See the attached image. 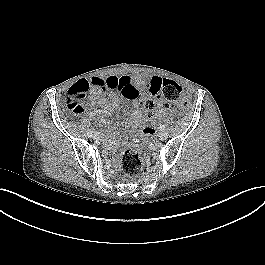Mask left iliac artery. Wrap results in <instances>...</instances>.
Segmentation results:
<instances>
[{
  "label": "left iliac artery",
  "instance_id": "left-iliac-artery-1",
  "mask_svg": "<svg viewBox=\"0 0 265 265\" xmlns=\"http://www.w3.org/2000/svg\"><path fill=\"white\" fill-rule=\"evenodd\" d=\"M159 129H160L161 131H164V130H165V126H164V125H160Z\"/></svg>",
  "mask_w": 265,
  "mask_h": 265
}]
</instances>
